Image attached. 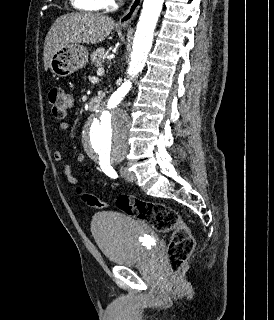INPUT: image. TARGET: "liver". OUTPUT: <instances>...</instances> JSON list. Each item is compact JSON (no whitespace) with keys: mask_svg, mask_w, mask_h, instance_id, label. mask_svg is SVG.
I'll use <instances>...</instances> for the list:
<instances>
[{"mask_svg":"<svg viewBox=\"0 0 274 320\" xmlns=\"http://www.w3.org/2000/svg\"><path fill=\"white\" fill-rule=\"evenodd\" d=\"M114 20L102 14L76 12L57 18L45 38L43 60L47 72L50 60L61 48H72L80 44H100L114 30Z\"/></svg>","mask_w":274,"mask_h":320,"instance_id":"liver-1","label":"liver"}]
</instances>
